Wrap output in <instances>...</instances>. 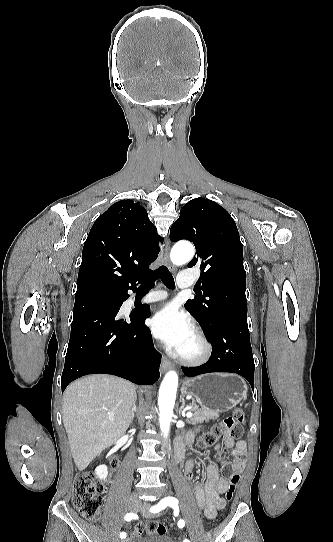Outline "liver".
Listing matches in <instances>:
<instances>
[{
	"label": "liver",
	"instance_id": "liver-1",
	"mask_svg": "<svg viewBox=\"0 0 333 542\" xmlns=\"http://www.w3.org/2000/svg\"><path fill=\"white\" fill-rule=\"evenodd\" d=\"M135 400L134 384L107 374L85 376L66 388L62 418L80 472L124 436Z\"/></svg>",
	"mask_w": 333,
	"mask_h": 542
}]
</instances>
